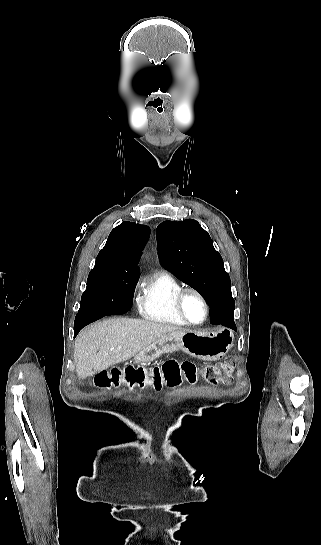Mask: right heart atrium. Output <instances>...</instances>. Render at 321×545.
<instances>
[{
	"mask_svg": "<svg viewBox=\"0 0 321 545\" xmlns=\"http://www.w3.org/2000/svg\"><path fill=\"white\" fill-rule=\"evenodd\" d=\"M137 293V289L135 290V294Z\"/></svg>",
	"mask_w": 321,
	"mask_h": 545,
	"instance_id": "1",
	"label": "right heart atrium"
}]
</instances>
